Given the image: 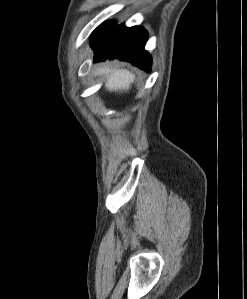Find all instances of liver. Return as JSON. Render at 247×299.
<instances>
[{
    "instance_id": "1",
    "label": "liver",
    "mask_w": 247,
    "mask_h": 299,
    "mask_svg": "<svg viewBox=\"0 0 247 299\" xmlns=\"http://www.w3.org/2000/svg\"><path fill=\"white\" fill-rule=\"evenodd\" d=\"M95 73L106 76L105 87L110 92H127L135 81V75L127 69H113L103 66L98 67Z\"/></svg>"
}]
</instances>
